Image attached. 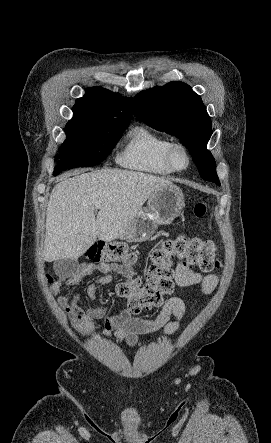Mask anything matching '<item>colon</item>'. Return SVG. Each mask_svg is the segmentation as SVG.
Instances as JSON below:
<instances>
[{"mask_svg": "<svg viewBox=\"0 0 271 443\" xmlns=\"http://www.w3.org/2000/svg\"><path fill=\"white\" fill-rule=\"evenodd\" d=\"M206 212L205 200L194 206V214L197 217L205 216ZM217 249V244L211 240L183 234L167 237L150 251L145 283L133 274L117 286V294L126 300L128 310L132 314L159 307L163 303L164 295L173 290L174 261L183 260L202 271H212L221 266ZM87 256L96 263H118L132 270L137 264L136 253L123 243L97 241L89 248Z\"/></svg>", "mask_w": 271, "mask_h": 443, "instance_id": "5ec220e1", "label": "colon"}]
</instances>
